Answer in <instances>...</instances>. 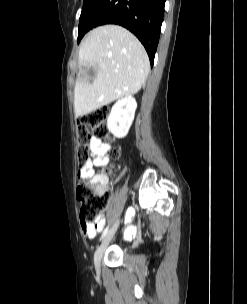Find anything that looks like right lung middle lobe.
Segmentation results:
<instances>
[{"label":"right lung middle lobe","mask_w":247,"mask_h":304,"mask_svg":"<svg viewBox=\"0 0 247 304\" xmlns=\"http://www.w3.org/2000/svg\"><path fill=\"white\" fill-rule=\"evenodd\" d=\"M100 1L101 0H84L82 12H81V15H80V23H79V29H78V41L84 35V29H83V26H82V20L95 8V6Z\"/></svg>","instance_id":"1"}]
</instances>
